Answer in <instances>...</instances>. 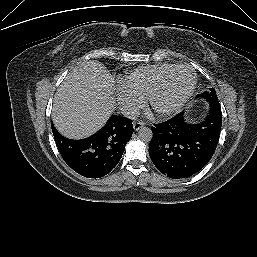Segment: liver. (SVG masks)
Returning <instances> with one entry per match:
<instances>
[{
    "mask_svg": "<svg viewBox=\"0 0 257 257\" xmlns=\"http://www.w3.org/2000/svg\"><path fill=\"white\" fill-rule=\"evenodd\" d=\"M114 79L98 61L73 68L58 88L52 119L56 129L71 139L97 132L114 111Z\"/></svg>",
    "mask_w": 257,
    "mask_h": 257,
    "instance_id": "liver-1",
    "label": "liver"
}]
</instances>
